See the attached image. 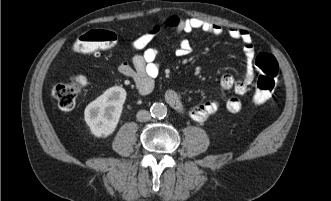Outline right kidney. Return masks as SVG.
Listing matches in <instances>:
<instances>
[{
    "mask_svg": "<svg viewBox=\"0 0 331 201\" xmlns=\"http://www.w3.org/2000/svg\"><path fill=\"white\" fill-rule=\"evenodd\" d=\"M126 95L124 88L113 86L87 105L84 118L94 136L107 137L115 131Z\"/></svg>",
    "mask_w": 331,
    "mask_h": 201,
    "instance_id": "obj_1",
    "label": "right kidney"
}]
</instances>
